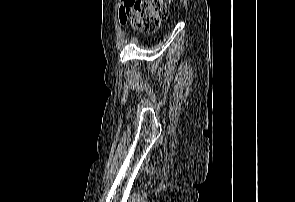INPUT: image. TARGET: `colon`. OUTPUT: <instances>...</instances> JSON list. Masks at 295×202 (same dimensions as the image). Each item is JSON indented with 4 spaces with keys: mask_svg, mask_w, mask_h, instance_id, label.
<instances>
[{
    "mask_svg": "<svg viewBox=\"0 0 295 202\" xmlns=\"http://www.w3.org/2000/svg\"><path fill=\"white\" fill-rule=\"evenodd\" d=\"M123 19L135 30L156 31L168 17V6L173 0H125Z\"/></svg>",
    "mask_w": 295,
    "mask_h": 202,
    "instance_id": "1",
    "label": "colon"
}]
</instances>
